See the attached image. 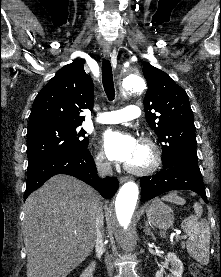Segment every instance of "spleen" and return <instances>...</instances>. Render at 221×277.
Returning <instances> with one entry per match:
<instances>
[{
    "label": "spleen",
    "instance_id": "obj_1",
    "mask_svg": "<svg viewBox=\"0 0 221 277\" xmlns=\"http://www.w3.org/2000/svg\"><path fill=\"white\" fill-rule=\"evenodd\" d=\"M163 201L184 205L186 201L176 192L167 194L161 198ZM195 215L184 219L181 223L183 231L188 236L187 251L189 255L202 265L209 262L210 228L205 220H199L203 212L202 206L194 204Z\"/></svg>",
    "mask_w": 221,
    "mask_h": 277
}]
</instances>
